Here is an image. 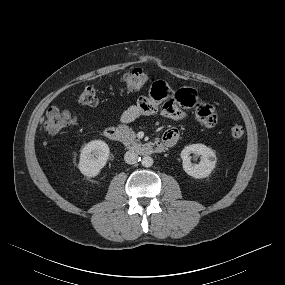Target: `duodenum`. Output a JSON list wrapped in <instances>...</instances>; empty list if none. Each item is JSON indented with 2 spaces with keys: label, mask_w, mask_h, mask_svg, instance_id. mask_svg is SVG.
<instances>
[{
  "label": "duodenum",
  "mask_w": 285,
  "mask_h": 285,
  "mask_svg": "<svg viewBox=\"0 0 285 285\" xmlns=\"http://www.w3.org/2000/svg\"><path fill=\"white\" fill-rule=\"evenodd\" d=\"M104 135L111 141L120 143L126 148L142 155L161 153L167 147L162 141H150L143 144L130 142L124 133L117 127H107Z\"/></svg>",
  "instance_id": "obj_1"
}]
</instances>
